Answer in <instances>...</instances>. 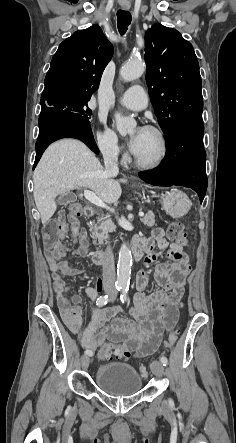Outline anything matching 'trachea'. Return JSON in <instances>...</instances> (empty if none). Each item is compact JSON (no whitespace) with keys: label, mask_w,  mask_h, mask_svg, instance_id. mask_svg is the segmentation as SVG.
Segmentation results:
<instances>
[{"label":"trachea","mask_w":236,"mask_h":443,"mask_svg":"<svg viewBox=\"0 0 236 443\" xmlns=\"http://www.w3.org/2000/svg\"><path fill=\"white\" fill-rule=\"evenodd\" d=\"M131 20V14L128 11L119 10L117 12V26L121 35L126 33Z\"/></svg>","instance_id":"trachea-1"}]
</instances>
